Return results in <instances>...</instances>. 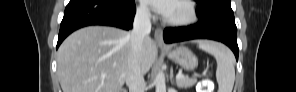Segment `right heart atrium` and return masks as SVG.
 Instances as JSON below:
<instances>
[{
	"label": "right heart atrium",
	"mask_w": 296,
	"mask_h": 92,
	"mask_svg": "<svg viewBox=\"0 0 296 92\" xmlns=\"http://www.w3.org/2000/svg\"><path fill=\"white\" fill-rule=\"evenodd\" d=\"M138 13L143 18H148L150 16L149 9L144 5L138 7Z\"/></svg>",
	"instance_id": "obj_1"
}]
</instances>
